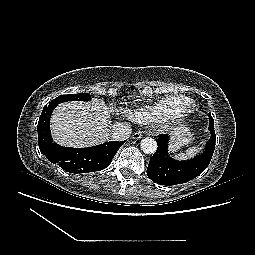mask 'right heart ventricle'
I'll return each mask as SVG.
<instances>
[{
    "mask_svg": "<svg viewBox=\"0 0 255 255\" xmlns=\"http://www.w3.org/2000/svg\"><path fill=\"white\" fill-rule=\"evenodd\" d=\"M191 104V100L182 95H171L159 99L157 102L137 107L128 111V117L137 123L166 120L169 112L174 107H185Z\"/></svg>",
    "mask_w": 255,
    "mask_h": 255,
    "instance_id": "right-heart-ventricle-1",
    "label": "right heart ventricle"
}]
</instances>
